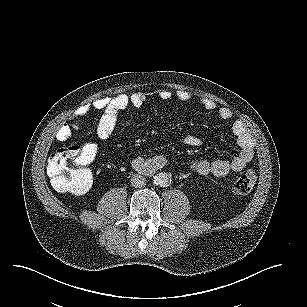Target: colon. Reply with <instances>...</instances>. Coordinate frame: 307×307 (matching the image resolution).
I'll list each match as a JSON object with an SVG mask.
<instances>
[{"label":"colon","instance_id":"5ec220e1","mask_svg":"<svg viewBox=\"0 0 307 307\" xmlns=\"http://www.w3.org/2000/svg\"><path fill=\"white\" fill-rule=\"evenodd\" d=\"M47 172L52 186L59 192L83 194L92 184V173L78 146L63 147L55 151L49 158ZM256 182L253 169L240 174L232 184L236 195H246L252 191Z\"/></svg>","mask_w":307,"mask_h":307}]
</instances>
